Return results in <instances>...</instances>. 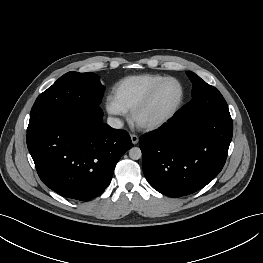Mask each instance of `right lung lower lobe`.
Wrapping results in <instances>:
<instances>
[{"label": "right lung lower lobe", "instance_id": "98d812e1", "mask_svg": "<svg viewBox=\"0 0 263 263\" xmlns=\"http://www.w3.org/2000/svg\"><path fill=\"white\" fill-rule=\"evenodd\" d=\"M99 105L62 114L27 133V146L42 182L59 195L88 201L111 182L129 134L103 123Z\"/></svg>", "mask_w": 263, "mask_h": 263}]
</instances>
